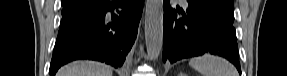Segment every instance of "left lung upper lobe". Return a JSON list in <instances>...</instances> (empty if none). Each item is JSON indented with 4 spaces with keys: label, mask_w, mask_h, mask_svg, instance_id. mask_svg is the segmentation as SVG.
Returning <instances> with one entry per match:
<instances>
[{
    "label": "left lung upper lobe",
    "mask_w": 287,
    "mask_h": 76,
    "mask_svg": "<svg viewBox=\"0 0 287 76\" xmlns=\"http://www.w3.org/2000/svg\"><path fill=\"white\" fill-rule=\"evenodd\" d=\"M206 10L214 12L233 23L234 1L233 0H189Z\"/></svg>",
    "instance_id": "5c2ea615"
}]
</instances>
